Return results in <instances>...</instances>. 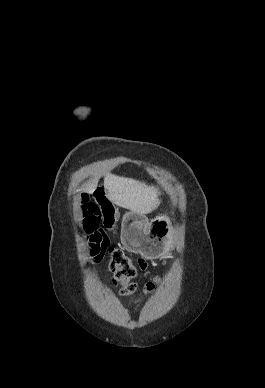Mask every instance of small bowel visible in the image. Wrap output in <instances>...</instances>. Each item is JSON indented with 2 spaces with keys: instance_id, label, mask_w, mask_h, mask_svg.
<instances>
[{
  "instance_id": "c3829d8e",
  "label": "small bowel",
  "mask_w": 265,
  "mask_h": 388,
  "mask_svg": "<svg viewBox=\"0 0 265 388\" xmlns=\"http://www.w3.org/2000/svg\"><path fill=\"white\" fill-rule=\"evenodd\" d=\"M139 265L142 269L146 268V264L143 261H140Z\"/></svg>"
}]
</instances>
